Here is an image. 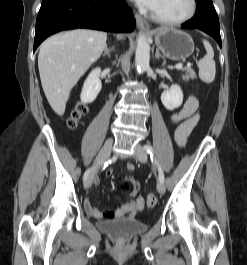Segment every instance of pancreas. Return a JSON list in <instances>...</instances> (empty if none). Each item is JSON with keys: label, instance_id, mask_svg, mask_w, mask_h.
<instances>
[{"label": "pancreas", "instance_id": "obj_1", "mask_svg": "<svg viewBox=\"0 0 247 265\" xmlns=\"http://www.w3.org/2000/svg\"><path fill=\"white\" fill-rule=\"evenodd\" d=\"M183 70L185 71V75H183V80L189 81V79L196 78V73L191 67H186Z\"/></svg>", "mask_w": 247, "mask_h": 265}]
</instances>
